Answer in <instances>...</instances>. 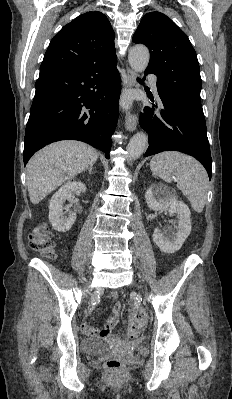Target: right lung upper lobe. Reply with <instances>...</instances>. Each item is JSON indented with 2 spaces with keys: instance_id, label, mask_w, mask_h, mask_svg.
<instances>
[{
  "instance_id": "1",
  "label": "right lung upper lobe",
  "mask_w": 232,
  "mask_h": 399,
  "mask_svg": "<svg viewBox=\"0 0 232 399\" xmlns=\"http://www.w3.org/2000/svg\"><path fill=\"white\" fill-rule=\"evenodd\" d=\"M114 31L98 11L80 15L51 40L40 71L81 69L116 60Z\"/></svg>"
}]
</instances>
